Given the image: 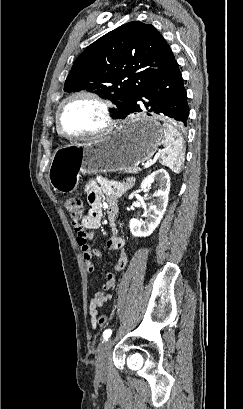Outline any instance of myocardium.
<instances>
[{"label": "myocardium", "instance_id": "f54148a6", "mask_svg": "<svg viewBox=\"0 0 243 409\" xmlns=\"http://www.w3.org/2000/svg\"><path fill=\"white\" fill-rule=\"evenodd\" d=\"M78 97H85V98H89L95 101L101 107L104 123L101 128L95 131H92L90 133H85V134H80V135H69V134H66L62 129L61 115H62V111L65 105L69 101L75 98H78ZM115 124L116 123L112 115V109H111L110 102L106 100L104 97H102L101 95H99L98 93L89 91V90H80V91L70 94L69 96H67L65 99L61 101V103L58 106L57 112H56L57 132L60 136L68 140H83V139L94 138V137L105 135L114 129Z\"/></svg>", "mask_w": 243, "mask_h": 409}]
</instances>
